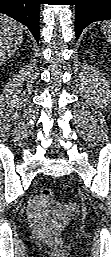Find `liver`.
I'll return each instance as SVG.
<instances>
[{
    "label": "liver",
    "mask_w": 111,
    "mask_h": 257,
    "mask_svg": "<svg viewBox=\"0 0 111 257\" xmlns=\"http://www.w3.org/2000/svg\"><path fill=\"white\" fill-rule=\"evenodd\" d=\"M23 40V26L1 15L0 17V61L4 63L18 48Z\"/></svg>",
    "instance_id": "6515ba94"
}]
</instances>
